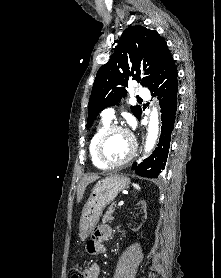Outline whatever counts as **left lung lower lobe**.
<instances>
[{
	"label": "left lung lower lobe",
	"mask_w": 221,
	"mask_h": 278,
	"mask_svg": "<svg viewBox=\"0 0 221 278\" xmlns=\"http://www.w3.org/2000/svg\"><path fill=\"white\" fill-rule=\"evenodd\" d=\"M177 76V69L172 59L148 87L152 93L154 91V95H157L160 101L162 127L155 151L139 165L137 163L132 165V169L139 176L156 178L165 168L177 110Z\"/></svg>",
	"instance_id": "0a47b994"
}]
</instances>
